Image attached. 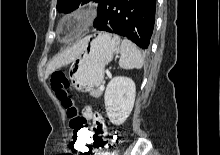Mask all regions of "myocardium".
Listing matches in <instances>:
<instances>
[{"instance_id": "obj_1", "label": "myocardium", "mask_w": 220, "mask_h": 155, "mask_svg": "<svg viewBox=\"0 0 220 155\" xmlns=\"http://www.w3.org/2000/svg\"><path fill=\"white\" fill-rule=\"evenodd\" d=\"M88 13L86 11H76L71 14L64 15L58 22L56 30L60 34H70L79 30L88 21Z\"/></svg>"}]
</instances>
